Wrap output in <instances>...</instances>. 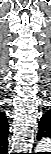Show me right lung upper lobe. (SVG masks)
<instances>
[{"mask_svg": "<svg viewBox=\"0 0 51 154\" xmlns=\"http://www.w3.org/2000/svg\"><path fill=\"white\" fill-rule=\"evenodd\" d=\"M2 117H3V121H4L5 131L7 132L8 122H7L6 117L3 114H2Z\"/></svg>", "mask_w": 51, "mask_h": 154, "instance_id": "obj_1", "label": "right lung upper lobe"}]
</instances>
